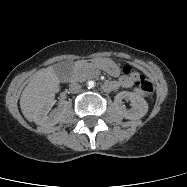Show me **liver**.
Listing matches in <instances>:
<instances>
[{"label": "liver", "instance_id": "liver-1", "mask_svg": "<svg viewBox=\"0 0 187 187\" xmlns=\"http://www.w3.org/2000/svg\"><path fill=\"white\" fill-rule=\"evenodd\" d=\"M60 79L54 68L49 66L39 70L23 90L20 108L28 121H36L47 101L60 90Z\"/></svg>", "mask_w": 187, "mask_h": 187}]
</instances>
